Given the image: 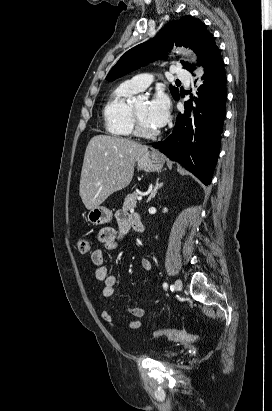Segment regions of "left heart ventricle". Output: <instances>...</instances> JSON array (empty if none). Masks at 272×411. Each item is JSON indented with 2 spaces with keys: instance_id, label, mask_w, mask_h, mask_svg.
Masks as SVG:
<instances>
[{
  "instance_id": "b2bd125f",
  "label": "left heart ventricle",
  "mask_w": 272,
  "mask_h": 411,
  "mask_svg": "<svg viewBox=\"0 0 272 411\" xmlns=\"http://www.w3.org/2000/svg\"><path fill=\"white\" fill-rule=\"evenodd\" d=\"M147 106L148 104L146 101H141L133 105L141 125L147 130H156V127H154L147 119Z\"/></svg>"
}]
</instances>
